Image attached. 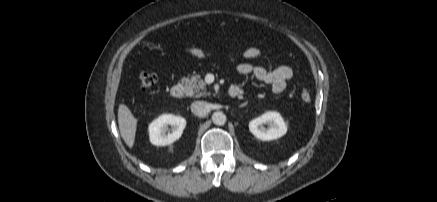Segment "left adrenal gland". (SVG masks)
<instances>
[{
	"label": "left adrenal gland",
	"instance_id": "obj_1",
	"mask_svg": "<svg viewBox=\"0 0 437 202\" xmlns=\"http://www.w3.org/2000/svg\"><path fill=\"white\" fill-rule=\"evenodd\" d=\"M244 106H246V103H244V104L240 105V107H244Z\"/></svg>",
	"mask_w": 437,
	"mask_h": 202
}]
</instances>
